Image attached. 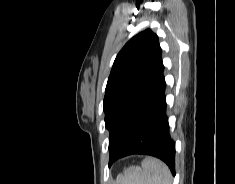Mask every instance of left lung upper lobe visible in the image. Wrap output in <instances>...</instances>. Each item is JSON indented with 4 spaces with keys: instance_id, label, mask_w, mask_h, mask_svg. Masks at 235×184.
Masks as SVG:
<instances>
[{
    "instance_id": "1",
    "label": "left lung upper lobe",
    "mask_w": 235,
    "mask_h": 184,
    "mask_svg": "<svg viewBox=\"0 0 235 184\" xmlns=\"http://www.w3.org/2000/svg\"><path fill=\"white\" fill-rule=\"evenodd\" d=\"M158 36L146 29L131 38L116 56L105 90V125L109 161L128 140L162 70Z\"/></svg>"
}]
</instances>
